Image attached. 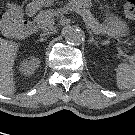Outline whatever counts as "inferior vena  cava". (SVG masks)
Instances as JSON below:
<instances>
[{"instance_id": "1", "label": "inferior vena cava", "mask_w": 135, "mask_h": 135, "mask_svg": "<svg viewBox=\"0 0 135 135\" xmlns=\"http://www.w3.org/2000/svg\"><path fill=\"white\" fill-rule=\"evenodd\" d=\"M54 33H56V30H52L50 32H45V33L41 34V36H46V35H50V34H54Z\"/></svg>"}]
</instances>
